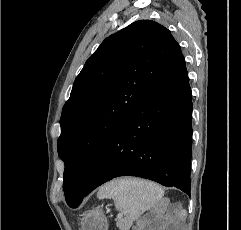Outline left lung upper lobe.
Returning <instances> with one entry per match:
<instances>
[{"instance_id":"obj_1","label":"left lung upper lobe","mask_w":241,"mask_h":230,"mask_svg":"<svg viewBox=\"0 0 241 230\" xmlns=\"http://www.w3.org/2000/svg\"><path fill=\"white\" fill-rule=\"evenodd\" d=\"M184 60L170 31L139 20L106 38L75 79L60 119L69 206L85 193L115 132Z\"/></svg>"}]
</instances>
